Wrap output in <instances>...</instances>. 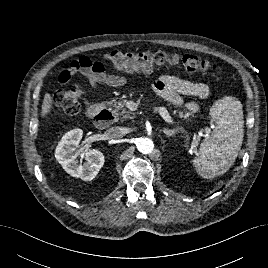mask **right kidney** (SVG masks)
<instances>
[{"label":"right kidney","instance_id":"1","mask_svg":"<svg viewBox=\"0 0 268 268\" xmlns=\"http://www.w3.org/2000/svg\"><path fill=\"white\" fill-rule=\"evenodd\" d=\"M82 135L83 131L81 129H73L67 132L57 145L55 158L71 176L90 181L96 177L103 166L104 156L95 149L81 153L78 147ZM78 157H80V160L77 159Z\"/></svg>","mask_w":268,"mask_h":268}]
</instances>
